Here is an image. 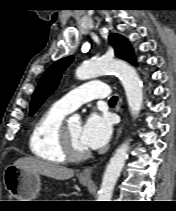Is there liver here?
<instances>
[{"label":"liver","instance_id":"6515ba94","mask_svg":"<svg viewBox=\"0 0 176 211\" xmlns=\"http://www.w3.org/2000/svg\"><path fill=\"white\" fill-rule=\"evenodd\" d=\"M13 165L25 171L42 174L56 180H67L74 176V170L70 168L33 157L19 158Z\"/></svg>","mask_w":176,"mask_h":211}]
</instances>
